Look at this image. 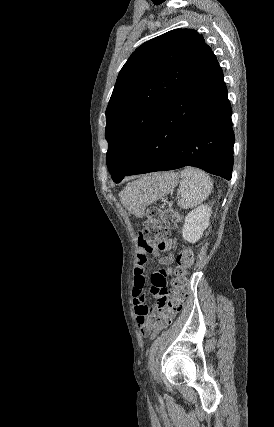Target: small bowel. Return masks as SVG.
Masks as SVG:
<instances>
[{
	"mask_svg": "<svg viewBox=\"0 0 274 427\" xmlns=\"http://www.w3.org/2000/svg\"><path fill=\"white\" fill-rule=\"evenodd\" d=\"M147 246H137V258L134 267V278L132 295L134 298V312L136 317V323L142 333V335H149L153 330L152 323L149 320L151 314H155L154 310H157L158 306H161L160 302H167L169 299L168 293L170 292V282L164 280L165 271L164 269H155L153 275H148L146 281L148 284H153L151 292L157 295V300L152 305L147 303V295L144 292L145 276L144 273L148 271L146 265L148 261L147 255H151V250H147ZM156 254H165L173 251V246L169 244H161L153 247ZM146 251V252H145ZM169 264L173 261L172 255H166L163 259L160 256H153L151 262L153 265H160L161 262Z\"/></svg>",
	"mask_w": 274,
	"mask_h": 427,
	"instance_id": "c3829d8e",
	"label": "small bowel"
}]
</instances>
